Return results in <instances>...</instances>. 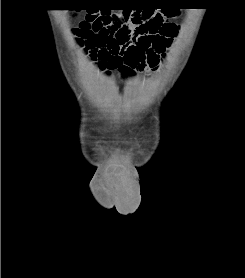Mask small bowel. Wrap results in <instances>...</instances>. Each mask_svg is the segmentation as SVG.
I'll return each mask as SVG.
<instances>
[{
  "label": "small bowel",
  "mask_w": 245,
  "mask_h": 278,
  "mask_svg": "<svg viewBox=\"0 0 245 278\" xmlns=\"http://www.w3.org/2000/svg\"><path fill=\"white\" fill-rule=\"evenodd\" d=\"M177 13L178 11H174L172 16H176ZM78 39L81 44L87 47L89 40L86 33H79ZM93 45L96 47L95 49L99 48L96 42H93ZM167 46H165L163 53L154 52V54H150L151 44L143 47L139 40L135 38L131 43L122 46L115 36H109L100 47L104 50V54L95 57L97 59L95 68L107 75L110 70L122 68L127 77H131L136 72L148 69L154 70L167 50Z\"/></svg>",
  "instance_id": "c3829d8e"
}]
</instances>
